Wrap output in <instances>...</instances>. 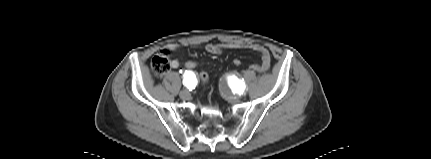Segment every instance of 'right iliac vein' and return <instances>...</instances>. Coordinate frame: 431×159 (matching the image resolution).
I'll return each mask as SVG.
<instances>
[{"mask_svg":"<svg viewBox=\"0 0 431 159\" xmlns=\"http://www.w3.org/2000/svg\"><path fill=\"white\" fill-rule=\"evenodd\" d=\"M179 95L182 99H188L190 97V92L188 89H183Z\"/></svg>","mask_w":431,"mask_h":159,"instance_id":"obj_1","label":"right iliac vein"}]
</instances>
